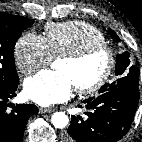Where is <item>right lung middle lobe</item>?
Segmentation results:
<instances>
[{
    "label": "right lung middle lobe",
    "instance_id": "1",
    "mask_svg": "<svg viewBox=\"0 0 142 142\" xmlns=\"http://www.w3.org/2000/svg\"><path fill=\"white\" fill-rule=\"evenodd\" d=\"M33 23L21 16L0 13V88L19 81L14 62V46L22 31Z\"/></svg>",
    "mask_w": 142,
    "mask_h": 142
}]
</instances>
